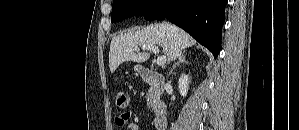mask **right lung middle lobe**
Listing matches in <instances>:
<instances>
[{
    "label": "right lung middle lobe",
    "mask_w": 299,
    "mask_h": 130,
    "mask_svg": "<svg viewBox=\"0 0 299 130\" xmlns=\"http://www.w3.org/2000/svg\"><path fill=\"white\" fill-rule=\"evenodd\" d=\"M158 0H114L111 22H119L131 16H143Z\"/></svg>",
    "instance_id": "1"
}]
</instances>
